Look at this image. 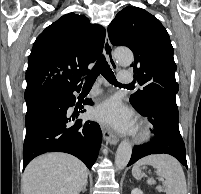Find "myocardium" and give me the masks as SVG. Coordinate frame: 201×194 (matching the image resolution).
<instances>
[{"instance_id":"1","label":"myocardium","mask_w":201,"mask_h":194,"mask_svg":"<svg viewBox=\"0 0 201 194\" xmlns=\"http://www.w3.org/2000/svg\"><path fill=\"white\" fill-rule=\"evenodd\" d=\"M150 138V130L145 124H141L136 133V141L144 142Z\"/></svg>"}]
</instances>
